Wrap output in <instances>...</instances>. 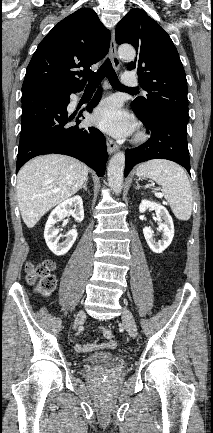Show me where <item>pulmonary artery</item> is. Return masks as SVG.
I'll return each mask as SVG.
<instances>
[{
  "label": "pulmonary artery",
  "instance_id": "1",
  "mask_svg": "<svg viewBox=\"0 0 213 433\" xmlns=\"http://www.w3.org/2000/svg\"><path fill=\"white\" fill-rule=\"evenodd\" d=\"M122 83L124 86L133 87L137 85V78L132 72H126L123 74Z\"/></svg>",
  "mask_w": 213,
  "mask_h": 433
}]
</instances>
